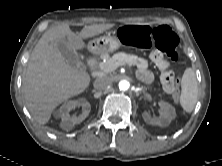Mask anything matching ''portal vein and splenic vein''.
Here are the masks:
<instances>
[{
	"label": "portal vein and splenic vein",
	"mask_w": 222,
	"mask_h": 166,
	"mask_svg": "<svg viewBox=\"0 0 222 166\" xmlns=\"http://www.w3.org/2000/svg\"><path fill=\"white\" fill-rule=\"evenodd\" d=\"M125 65V63H117L115 66L111 67V69H116L118 66Z\"/></svg>",
	"instance_id": "obj_1"
}]
</instances>
